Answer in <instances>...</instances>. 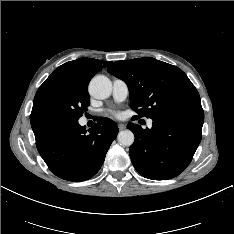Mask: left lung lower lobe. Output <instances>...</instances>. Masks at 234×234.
Returning a JSON list of instances; mask_svg holds the SVG:
<instances>
[{"instance_id": "1", "label": "left lung lower lobe", "mask_w": 234, "mask_h": 234, "mask_svg": "<svg viewBox=\"0 0 234 234\" xmlns=\"http://www.w3.org/2000/svg\"><path fill=\"white\" fill-rule=\"evenodd\" d=\"M151 129L129 123L135 135L129 154L137 172L148 179L167 180L179 175L191 162L201 141L202 107L154 118Z\"/></svg>"}]
</instances>
